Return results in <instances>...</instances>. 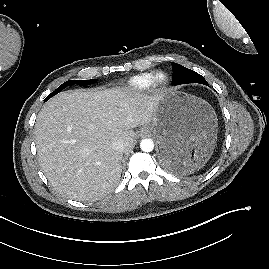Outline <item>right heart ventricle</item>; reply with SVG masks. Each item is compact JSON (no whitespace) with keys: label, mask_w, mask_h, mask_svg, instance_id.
I'll return each instance as SVG.
<instances>
[{"label":"right heart ventricle","mask_w":269,"mask_h":269,"mask_svg":"<svg viewBox=\"0 0 269 269\" xmlns=\"http://www.w3.org/2000/svg\"><path fill=\"white\" fill-rule=\"evenodd\" d=\"M154 74L152 72H145L133 76L127 81L126 87L129 90L141 92L152 86Z\"/></svg>","instance_id":"obj_1"}]
</instances>
